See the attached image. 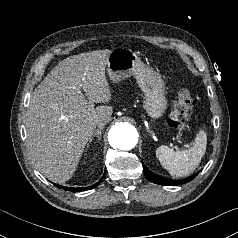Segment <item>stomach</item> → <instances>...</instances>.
Here are the masks:
<instances>
[{"label": "stomach", "instance_id": "1", "mask_svg": "<svg viewBox=\"0 0 238 238\" xmlns=\"http://www.w3.org/2000/svg\"><path fill=\"white\" fill-rule=\"evenodd\" d=\"M110 80L118 83L133 75L145 94L144 110L152 119L160 118L167 109L165 84L162 77L146 67L135 52L118 47L111 51L107 61Z\"/></svg>", "mask_w": 238, "mask_h": 238}]
</instances>
